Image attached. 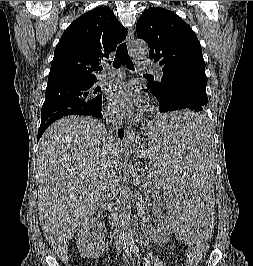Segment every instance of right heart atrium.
<instances>
[{"label":"right heart atrium","instance_id":"d8ad5b80","mask_svg":"<svg viewBox=\"0 0 253 266\" xmlns=\"http://www.w3.org/2000/svg\"><path fill=\"white\" fill-rule=\"evenodd\" d=\"M106 114L111 118H117L118 117V113L116 112V110L110 106L107 108Z\"/></svg>","mask_w":253,"mask_h":266}]
</instances>
